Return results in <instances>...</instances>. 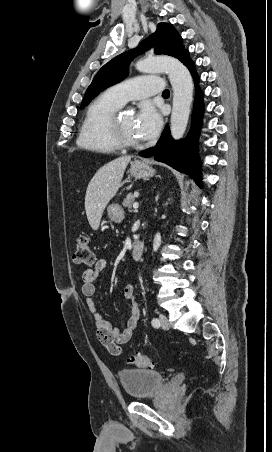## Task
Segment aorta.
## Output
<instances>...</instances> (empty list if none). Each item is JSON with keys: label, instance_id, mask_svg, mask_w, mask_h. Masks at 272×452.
Wrapping results in <instances>:
<instances>
[{"label": "aorta", "instance_id": "obj_1", "mask_svg": "<svg viewBox=\"0 0 272 452\" xmlns=\"http://www.w3.org/2000/svg\"><path fill=\"white\" fill-rule=\"evenodd\" d=\"M143 73H168L173 88L171 135L178 140L186 130L193 100V81L189 70L178 59L168 56L145 58L136 64Z\"/></svg>", "mask_w": 272, "mask_h": 452}]
</instances>
